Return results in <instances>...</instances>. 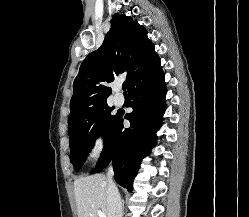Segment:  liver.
I'll use <instances>...</instances> for the list:
<instances>
[{"mask_svg":"<svg viewBox=\"0 0 249 217\" xmlns=\"http://www.w3.org/2000/svg\"><path fill=\"white\" fill-rule=\"evenodd\" d=\"M107 186V177L103 174H95L74 181L78 217H97L98 210L109 217Z\"/></svg>","mask_w":249,"mask_h":217,"instance_id":"6515ba94","label":"liver"}]
</instances>
